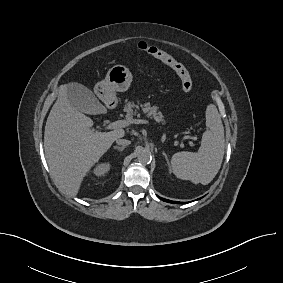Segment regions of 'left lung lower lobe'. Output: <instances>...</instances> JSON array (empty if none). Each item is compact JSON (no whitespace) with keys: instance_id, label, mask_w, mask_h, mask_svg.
I'll use <instances>...</instances> for the list:
<instances>
[{"instance_id":"obj_1","label":"left lung lower lobe","mask_w":283,"mask_h":283,"mask_svg":"<svg viewBox=\"0 0 283 283\" xmlns=\"http://www.w3.org/2000/svg\"><path fill=\"white\" fill-rule=\"evenodd\" d=\"M163 201L165 202H169V203H175V204H180L181 202H176V201H170V200H167V199H164V198H161Z\"/></svg>"}]
</instances>
